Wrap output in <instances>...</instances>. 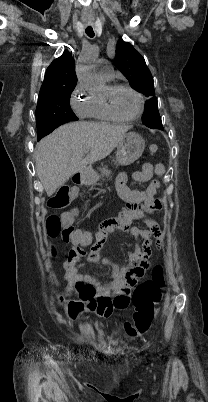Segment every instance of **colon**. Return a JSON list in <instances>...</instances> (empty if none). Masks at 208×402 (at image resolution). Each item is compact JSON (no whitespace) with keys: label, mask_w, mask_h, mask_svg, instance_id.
Here are the masks:
<instances>
[{"label":"colon","mask_w":208,"mask_h":402,"mask_svg":"<svg viewBox=\"0 0 208 402\" xmlns=\"http://www.w3.org/2000/svg\"><path fill=\"white\" fill-rule=\"evenodd\" d=\"M157 150L158 147L156 144H149L147 146V153L151 156L155 155ZM73 220V214L70 212L53 216L46 220L48 235L50 237L62 238L65 242L73 241L74 247L65 256L68 263H73L75 260H79L78 255H84L86 253V250L80 247H86L88 243L98 236L96 234L95 237H90L86 234L76 232L72 229ZM59 253L60 250L58 247H51L48 249V254L52 257L58 256ZM164 285V267L161 264H157L153 268L152 279L142 282L134 290L132 296V303L135 306L133 320L126 322L124 325L125 330L129 335L144 333L149 329L155 317V308L162 300V289ZM62 298L64 301H68L70 306H77L80 304V299L73 297L71 289H66ZM62 304L64 305L65 303L63 302ZM122 304L123 301H120L117 297L98 296L89 300L87 307L92 312L108 316L119 311L114 308H118ZM63 310L65 311L66 309L64 308ZM75 312V310H72L70 315L72 316Z\"/></svg>","instance_id":"obj_1"}]
</instances>
